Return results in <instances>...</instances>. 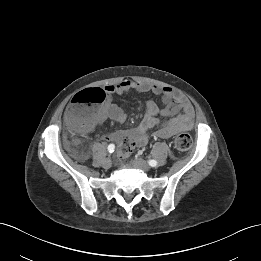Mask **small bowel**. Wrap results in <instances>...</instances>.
<instances>
[{
  "label": "small bowel",
  "instance_id": "c3829d8e",
  "mask_svg": "<svg viewBox=\"0 0 261 261\" xmlns=\"http://www.w3.org/2000/svg\"><path fill=\"white\" fill-rule=\"evenodd\" d=\"M132 91L138 93H151L161 97V106L154 101L147 102L145 114L140 124L132 129L113 132L103 139L105 141L119 142L129 138L134 146L143 147L149 140L148 131L155 129L154 137L168 139L177 133L190 130L193 127V108L186 97L170 87L155 84L123 80L117 84L106 86V99L92 114V123L88 132L108 120L122 123L126 119L124 110L113 101V96L123 95ZM162 115L167 120H161Z\"/></svg>",
  "mask_w": 261,
  "mask_h": 261
}]
</instances>
